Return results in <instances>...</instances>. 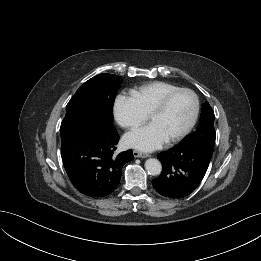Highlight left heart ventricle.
I'll return each instance as SVG.
<instances>
[{
    "instance_id": "1",
    "label": "left heart ventricle",
    "mask_w": 261,
    "mask_h": 261,
    "mask_svg": "<svg viewBox=\"0 0 261 261\" xmlns=\"http://www.w3.org/2000/svg\"><path fill=\"white\" fill-rule=\"evenodd\" d=\"M193 108L194 100L192 96L183 93L176 96L163 113L151 117L149 122L157 125L170 138L186 127Z\"/></svg>"
}]
</instances>
